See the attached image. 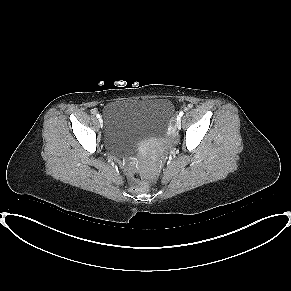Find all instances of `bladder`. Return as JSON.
Instances as JSON below:
<instances>
[{
    "label": "bladder",
    "mask_w": 291,
    "mask_h": 291,
    "mask_svg": "<svg viewBox=\"0 0 291 291\" xmlns=\"http://www.w3.org/2000/svg\"><path fill=\"white\" fill-rule=\"evenodd\" d=\"M173 114L174 106L167 98L108 103L101 124L107 151L128 154L141 141L162 136Z\"/></svg>",
    "instance_id": "obj_1"
}]
</instances>
